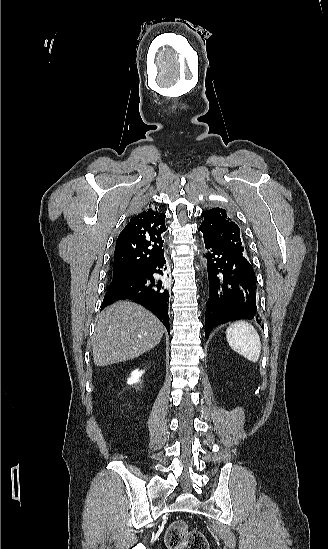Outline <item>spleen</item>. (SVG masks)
<instances>
[{
  "label": "spleen",
  "instance_id": "3e777b00",
  "mask_svg": "<svg viewBox=\"0 0 328 549\" xmlns=\"http://www.w3.org/2000/svg\"><path fill=\"white\" fill-rule=\"evenodd\" d=\"M226 339L229 343V347L239 353L248 361L257 363L262 345L260 337L254 329L253 325L246 323V321H236L232 323L228 329H226Z\"/></svg>",
  "mask_w": 328,
  "mask_h": 549
}]
</instances>
